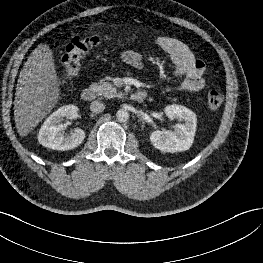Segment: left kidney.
<instances>
[{"mask_svg": "<svg viewBox=\"0 0 263 263\" xmlns=\"http://www.w3.org/2000/svg\"><path fill=\"white\" fill-rule=\"evenodd\" d=\"M170 119L183 120L176 124L175 131L156 130L150 134L152 145L162 152H181L188 150L193 143L197 118L193 111L181 105H168L164 110Z\"/></svg>", "mask_w": 263, "mask_h": 263, "instance_id": "left-kidney-1", "label": "left kidney"}]
</instances>
